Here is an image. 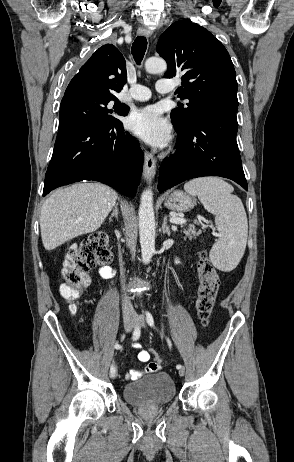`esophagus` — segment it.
Masks as SVG:
<instances>
[{
	"mask_svg": "<svg viewBox=\"0 0 294 462\" xmlns=\"http://www.w3.org/2000/svg\"><path fill=\"white\" fill-rule=\"evenodd\" d=\"M138 35L145 36L147 38L151 37L152 31L147 27H140L138 29ZM156 174V159L152 153L146 151L144 158V167H143V176L147 182L152 181Z\"/></svg>",
	"mask_w": 294,
	"mask_h": 462,
	"instance_id": "esophagus-1",
	"label": "esophagus"
}]
</instances>
